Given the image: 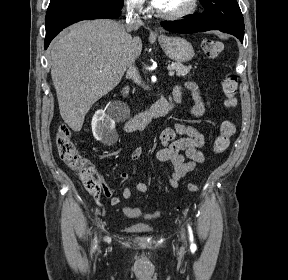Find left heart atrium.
I'll list each match as a JSON object with an SVG mask.
<instances>
[{
    "instance_id": "1",
    "label": "left heart atrium",
    "mask_w": 288,
    "mask_h": 280,
    "mask_svg": "<svg viewBox=\"0 0 288 280\" xmlns=\"http://www.w3.org/2000/svg\"><path fill=\"white\" fill-rule=\"evenodd\" d=\"M152 1H153V4L159 8L161 6L163 0H152Z\"/></svg>"
}]
</instances>
